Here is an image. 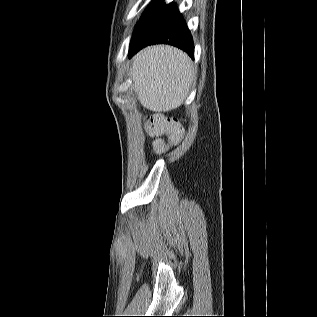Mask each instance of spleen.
<instances>
[{
  "mask_svg": "<svg viewBox=\"0 0 317 317\" xmlns=\"http://www.w3.org/2000/svg\"><path fill=\"white\" fill-rule=\"evenodd\" d=\"M131 77L141 104L152 111H168L186 99L193 80L189 57L179 49L153 46L134 58Z\"/></svg>",
  "mask_w": 317,
  "mask_h": 317,
  "instance_id": "obj_1",
  "label": "spleen"
}]
</instances>
